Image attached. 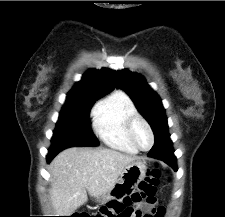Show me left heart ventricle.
Listing matches in <instances>:
<instances>
[{
	"instance_id": "b2bd125f",
	"label": "left heart ventricle",
	"mask_w": 225,
	"mask_h": 217,
	"mask_svg": "<svg viewBox=\"0 0 225 217\" xmlns=\"http://www.w3.org/2000/svg\"><path fill=\"white\" fill-rule=\"evenodd\" d=\"M135 137L138 144L143 148H148L151 144V136L147 130V128L138 123L135 127Z\"/></svg>"
}]
</instances>
